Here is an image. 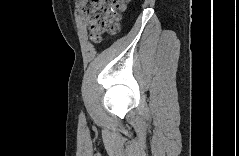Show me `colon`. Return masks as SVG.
<instances>
[{
  "label": "colon",
  "instance_id": "colon-1",
  "mask_svg": "<svg viewBox=\"0 0 239 156\" xmlns=\"http://www.w3.org/2000/svg\"><path fill=\"white\" fill-rule=\"evenodd\" d=\"M125 3L120 0H92L82 9L89 21L90 36L94 42H100L105 33L115 34L120 29L121 12Z\"/></svg>",
  "mask_w": 239,
  "mask_h": 156
}]
</instances>
